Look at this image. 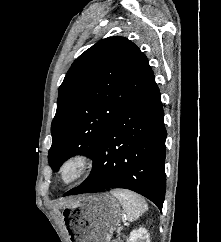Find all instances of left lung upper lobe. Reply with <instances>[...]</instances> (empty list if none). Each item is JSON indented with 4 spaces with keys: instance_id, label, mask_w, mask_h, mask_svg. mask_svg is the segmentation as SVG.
Instances as JSON below:
<instances>
[{
    "instance_id": "obj_1",
    "label": "left lung upper lobe",
    "mask_w": 221,
    "mask_h": 242,
    "mask_svg": "<svg viewBox=\"0 0 221 242\" xmlns=\"http://www.w3.org/2000/svg\"><path fill=\"white\" fill-rule=\"evenodd\" d=\"M154 81L147 57L127 38L102 39L81 54L59 88L48 153L53 170L76 154L92 159L107 128Z\"/></svg>"
}]
</instances>
